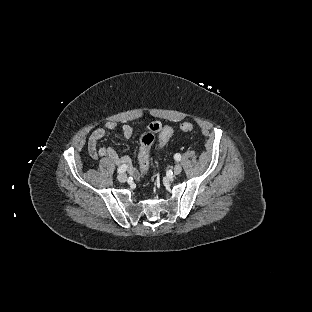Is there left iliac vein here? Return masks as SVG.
Masks as SVG:
<instances>
[{
    "instance_id": "left-iliac-vein-1",
    "label": "left iliac vein",
    "mask_w": 312,
    "mask_h": 312,
    "mask_svg": "<svg viewBox=\"0 0 312 312\" xmlns=\"http://www.w3.org/2000/svg\"><path fill=\"white\" fill-rule=\"evenodd\" d=\"M181 171H182V166H181L180 164L175 165V167H174V169H173V173H174L175 175H178V174L181 173Z\"/></svg>"
}]
</instances>
